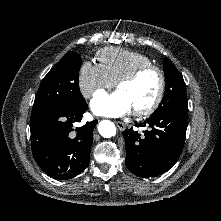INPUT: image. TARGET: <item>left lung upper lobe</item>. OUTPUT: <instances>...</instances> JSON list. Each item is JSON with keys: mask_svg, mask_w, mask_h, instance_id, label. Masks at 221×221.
Segmentation results:
<instances>
[{"mask_svg": "<svg viewBox=\"0 0 221 221\" xmlns=\"http://www.w3.org/2000/svg\"><path fill=\"white\" fill-rule=\"evenodd\" d=\"M166 87L163 100L152 115L160 114L177 104L187 103L186 87L180 72L174 64L165 57L163 59Z\"/></svg>", "mask_w": 221, "mask_h": 221, "instance_id": "5c2ea615", "label": "left lung upper lobe"}]
</instances>
